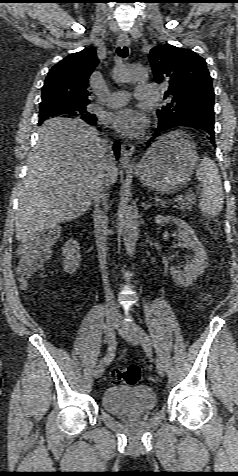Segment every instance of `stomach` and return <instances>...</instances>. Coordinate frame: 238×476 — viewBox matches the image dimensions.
I'll return each mask as SVG.
<instances>
[{"label": "stomach", "instance_id": "obj_1", "mask_svg": "<svg viewBox=\"0 0 238 476\" xmlns=\"http://www.w3.org/2000/svg\"><path fill=\"white\" fill-rule=\"evenodd\" d=\"M197 160L192 143L182 132L173 131L151 145L135 167V173L150 189L172 193L189 179Z\"/></svg>", "mask_w": 238, "mask_h": 476}]
</instances>
